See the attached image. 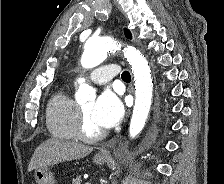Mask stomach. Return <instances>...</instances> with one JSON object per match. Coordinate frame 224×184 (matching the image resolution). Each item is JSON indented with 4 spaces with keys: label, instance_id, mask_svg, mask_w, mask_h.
Segmentation results:
<instances>
[{
    "label": "stomach",
    "instance_id": "stomach-1",
    "mask_svg": "<svg viewBox=\"0 0 224 184\" xmlns=\"http://www.w3.org/2000/svg\"><path fill=\"white\" fill-rule=\"evenodd\" d=\"M93 160L95 164L103 165L108 160V157L96 155ZM34 177L37 184H56L55 177L51 172L49 166H44L36 169Z\"/></svg>",
    "mask_w": 224,
    "mask_h": 184
}]
</instances>
